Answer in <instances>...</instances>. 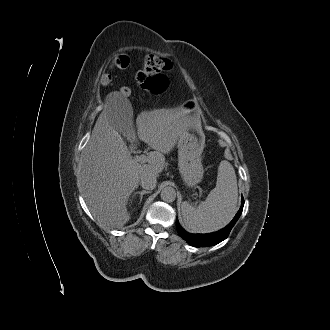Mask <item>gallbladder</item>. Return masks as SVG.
I'll return each mask as SVG.
<instances>
[{
    "mask_svg": "<svg viewBox=\"0 0 330 330\" xmlns=\"http://www.w3.org/2000/svg\"><path fill=\"white\" fill-rule=\"evenodd\" d=\"M117 116L121 117V123L114 124V127L119 133L124 134L126 133V128H130L133 125L132 111L129 110V105L127 103L124 102L119 106Z\"/></svg>",
    "mask_w": 330,
    "mask_h": 330,
    "instance_id": "1",
    "label": "gallbladder"
}]
</instances>
